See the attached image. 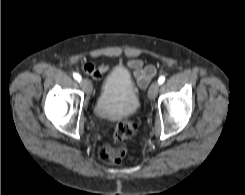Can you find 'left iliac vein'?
<instances>
[{
	"instance_id": "obj_1",
	"label": "left iliac vein",
	"mask_w": 245,
	"mask_h": 195,
	"mask_svg": "<svg viewBox=\"0 0 245 195\" xmlns=\"http://www.w3.org/2000/svg\"><path fill=\"white\" fill-rule=\"evenodd\" d=\"M158 91H159V83L157 82L152 83L148 91L149 99L154 100L157 96Z\"/></svg>"
}]
</instances>
